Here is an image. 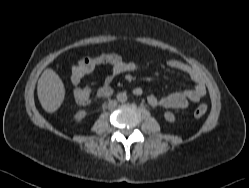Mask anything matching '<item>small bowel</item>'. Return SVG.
I'll return each mask as SVG.
<instances>
[{"mask_svg": "<svg viewBox=\"0 0 249 188\" xmlns=\"http://www.w3.org/2000/svg\"><path fill=\"white\" fill-rule=\"evenodd\" d=\"M109 64L111 65L112 70L111 74L105 80L106 85L111 83V81L117 75L138 68V66L135 63L125 62L121 60L119 57L117 58L116 61L111 62ZM168 66L171 69L185 73L187 76H189V78L194 83V87L184 92H175L163 97H158L154 94H150L147 97V101L151 106L163 107L169 109H185L190 102L197 103L200 99H202L206 95L205 83L200 74L193 67L176 59L168 61ZM136 90H140L142 94L141 88H136L135 91Z\"/></svg>", "mask_w": 249, "mask_h": 188, "instance_id": "obj_1", "label": "small bowel"}]
</instances>
